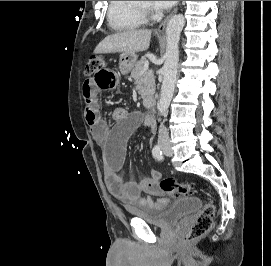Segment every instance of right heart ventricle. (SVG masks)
<instances>
[{"instance_id": "1", "label": "right heart ventricle", "mask_w": 271, "mask_h": 266, "mask_svg": "<svg viewBox=\"0 0 271 266\" xmlns=\"http://www.w3.org/2000/svg\"><path fill=\"white\" fill-rule=\"evenodd\" d=\"M107 20L116 31H130L142 26L145 17L130 1H109Z\"/></svg>"}]
</instances>
